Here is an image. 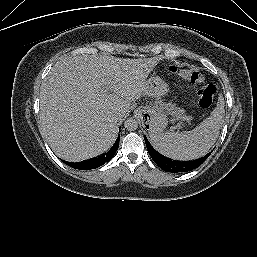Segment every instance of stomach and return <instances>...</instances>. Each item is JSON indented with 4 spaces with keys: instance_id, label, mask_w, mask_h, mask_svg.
Masks as SVG:
<instances>
[{
    "instance_id": "stomach-1",
    "label": "stomach",
    "mask_w": 257,
    "mask_h": 257,
    "mask_svg": "<svg viewBox=\"0 0 257 257\" xmlns=\"http://www.w3.org/2000/svg\"><path fill=\"white\" fill-rule=\"evenodd\" d=\"M169 91V85L158 76H152L146 80V95L148 96L160 97L167 95ZM137 113L148 125L150 131L162 130L168 123V118L162 109L141 107L137 109Z\"/></svg>"
}]
</instances>
